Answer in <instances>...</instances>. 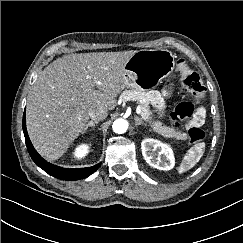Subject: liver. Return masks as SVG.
<instances>
[{
	"label": "liver",
	"instance_id": "obj_1",
	"mask_svg": "<svg viewBox=\"0 0 243 243\" xmlns=\"http://www.w3.org/2000/svg\"><path fill=\"white\" fill-rule=\"evenodd\" d=\"M135 52L66 55L39 73L28 98L26 124L42 156L60 158L85 132L91 109L116 107L125 64Z\"/></svg>",
	"mask_w": 243,
	"mask_h": 243
}]
</instances>
